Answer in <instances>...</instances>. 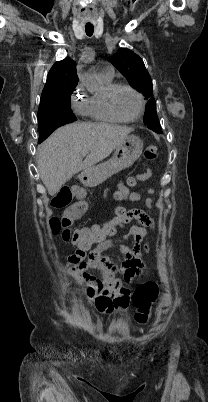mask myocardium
<instances>
[{"mask_svg": "<svg viewBox=\"0 0 208 402\" xmlns=\"http://www.w3.org/2000/svg\"><path fill=\"white\" fill-rule=\"evenodd\" d=\"M121 89H128V90L132 91L135 95H137V97L140 100L139 112L136 116H134L132 118L123 117L122 115H120L118 113V111L115 108V96H116L117 92ZM107 104H108V108H109L111 114L121 122H134V121L138 120L143 115L144 109H145V99H144V96L142 95V93H140L138 90H136L132 86L125 85V84L115 85L114 87H112L109 90V92L107 94Z\"/></svg>", "mask_w": 208, "mask_h": 402, "instance_id": "f54148a6", "label": "myocardium"}]
</instances>
